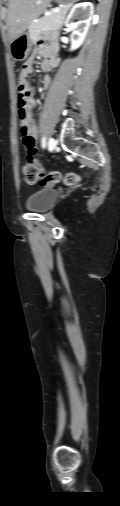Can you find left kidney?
Here are the masks:
<instances>
[{
    "instance_id": "left-kidney-1",
    "label": "left kidney",
    "mask_w": 120,
    "mask_h": 506,
    "mask_svg": "<svg viewBox=\"0 0 120 506\" xmlns=\"http://www.w3.org/2000/svg\"><path fill=\"white\" fill-rule=\"evenodd\" d=\"M93 13L94 7L90 2L78 3L70 10L65 20V26L72 30L70 50H75L83 44ZM75 19H79V21L74 22Z\"/></svg>"
}]
</instances>
